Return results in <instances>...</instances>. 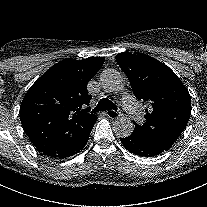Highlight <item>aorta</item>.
<instances>
[{
  "label": "aorta",
  "mask_w": 207,
  "mask_h": 207,
  "mask_svg": "<svg viewBox=\"0 0 207 207\" xmlns=\"http://www.w3.org/2000/svg\"><path fill=\"white\" fill-rule=\"evenodd\" d=\"M100 84L105 92H119L124 88V78L119 71L106 69L100 75ZM113 125L115 133L120 137H128L134 130V124L125 116L118 117Z\"/></svg>",
  "instance_id": "1"
}]
</instances>
